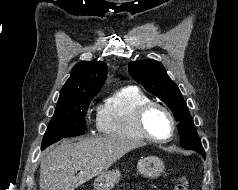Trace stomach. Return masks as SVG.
<instances>
[{"label":"stomach","instance_id":"0dacf381","mask_svg":"<svg viewBox=\"0 0 238 190\" xmlns=\"http://www.w3.org/2000/svg\"><path fill=\"white\" fill-rule=\"evenodd\" d=\"M138 171L147 178H157L164 172L163 161L155 156L145 157L138 161ZM121 173L118 169L106 171L94 180L96 190H111L120 180Z\"/></svg>","mask_w":238,"mask_h":190}]
</instances>
